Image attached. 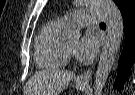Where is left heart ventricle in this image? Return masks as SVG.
<instances>
[{"instance_id":"obj_1","label":"left heart ventricle","mask_w":135,"mask_h":95,"mask_svg":"<svg viewBox=\"0 0 135 95\" xmlns=\"http://www.w3.org/2000/svg\"><path fill=\"white\" fill-rule=\"evenodd\" d=\"M74 28L79 29V30H83L85 27L78 26V27H74ZM66 45L72 52H75V50L78 46V40L71 41V42L67 43Z\"/></svg>"}]
</instances>
